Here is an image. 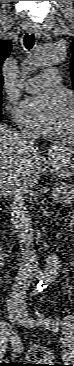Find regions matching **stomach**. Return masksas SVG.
Here are the masks:
<instances>
[{"label": "stomach", "mask_w": 74, "mask_h": 366, "mask_svg": "<svg viewBox=\"0 0 74 366\" xmlns=\"http://www.w3.org/2000/svg\"><path fill=\"white\" fill-rule=\"evenodd\" d=\"M55 172L62 177H70L73 174L74 159L70 153L58 151L50 158Z\"/></svg>", "instance_id": "stomach-1"}]
</instances>
